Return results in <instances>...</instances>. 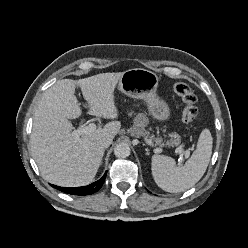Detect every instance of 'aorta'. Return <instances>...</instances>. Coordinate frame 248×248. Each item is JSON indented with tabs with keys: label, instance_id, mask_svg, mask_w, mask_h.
<instances>
[{
	"label": "aorta",
	"instance_id": "762f6f07",
	"mask_svg": "<svg viewBox=\"0 0 248 248\" xmlns=\"http://www.w3.org/2000/svg\"><path fill=\"white\" fill-rule=\"evenodd\" d=\"M131 153L130 147L127 143L121 142L114 148V154L118 158H127Z\"/></svg>",
	"mask_w": 248,
	"mask_h": 248
}]
</instances>
